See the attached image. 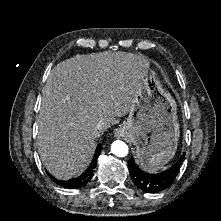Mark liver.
<instances>
[{
  "mask_svg": "<svg viewBox=\"0 0 221 221\" xmlns=\"http://www.w3.org/2000/svg\"><path fill=\"white\" fill-rule=\"evenodd\" d=\"M148 59L142 54L100 52L58 63L42 90L37 144L54 177L67 180L91 161L95 139L130 111ZM102 121L104 127L96 129Z\"/></svg>",
  "mask_w": 221,
  "mask_h": 221,
  "instance_id": "liver-1",
  "label": "liver"
}]
</instances>
